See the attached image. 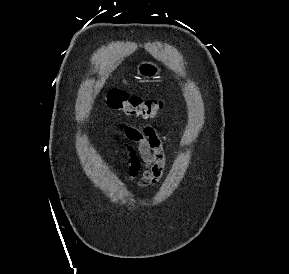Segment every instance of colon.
<instances>
[{"mask_svg": "<svg viewBox=\"0 0 289 274\" xmlns=\"http://www.w3.org/2000/svg\"><path fill=\"white\" fill-rule=\"evenodd\" d=\"M103 100L111 109L146 119L154 118L164 107L162 100L142 98L117 89L107 91Z\"/></svg>", "mask_w": 289, "mask_h": 274, "instance_id": "obj_1", "label": "colon"}]
</instances>
